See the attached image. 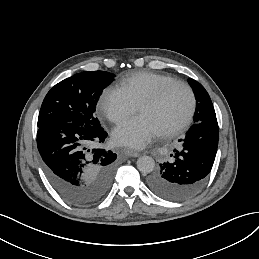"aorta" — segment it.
I'll return each mask as SVG.
<instances>
[{"mask_svg": "<svg viewBox=\"0 0 259 259\" xmlns=\"http://www.w3.org/2000/svg\"><path fill=\"white\" fill-rule=\"evenodd\" d=\"M155 168V161L150 156H142L137 160V169L143 173H151Z\"/></svg>", "mask_w": 259, "mask_h": 259, "instance_id": "aorta-1", "label": "aorta"}]
</instances>
